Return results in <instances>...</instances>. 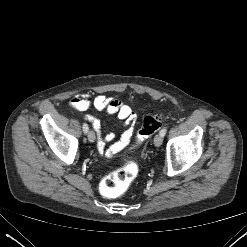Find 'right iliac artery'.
Segmentation results:
<instances>
[{"label":"right iliac artery","mask_w":247,"mask_h":247,"mask_svg":"<svg viewBox=\"0 0 247 247\" xmlns=\"http://www.w3.org/2000/svg\"><path fill=\"white\" fill-rule=\"evenodd\" d=\"M82 128H83V132L84 133H87L88 132V129L89 128H88V125L86 123L83 124V127Z\"/></svg>","instance_id":"1"}]
</instances>
